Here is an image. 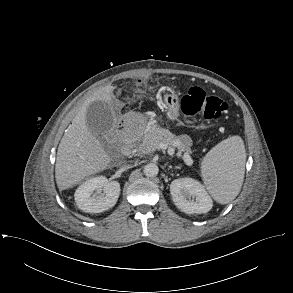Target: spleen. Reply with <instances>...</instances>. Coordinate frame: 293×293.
Returning <instances> with one entry per match:
<instances>
[{"instance_id":"1","label":"spleen","mask_w":293,"mask_h":293,"mask_svg":"<svg viewBox=\"0 0 293 293\" xmlns=\"http://www.w3.org/2000/svg\"><path fill=\"white\" fill-rule=\"evenodd\" d=\"M246 151L239 136L214 146L203 158L201 176L212 197L221 204L232 201L244 180Z\"/></svg>"}]
</instances>
